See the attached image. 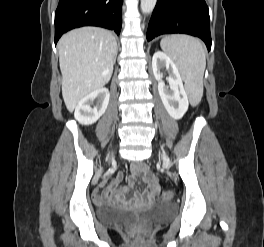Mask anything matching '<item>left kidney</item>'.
<instances>
[{
    "instance_id": "5707ae66",
    "label": "left kidney",
    "mask_w": 264,
    "mask_h": 247,
    "mask_svg": "<svg viewBox=\"0 0 264 247\" xmlns=\"http://www.w3.org/2000/svg\"><path fill=\"white\" fill-rule=\"evenodd\" d=\"M166 68L169 87L162 81L161 69ZM152 69L158 81V91L168 114L176 120L181 119L188 110V95L184 89L181 75L174 62L163 52L157 51L152 58Z\"/></svg>"
}]
</instances>
